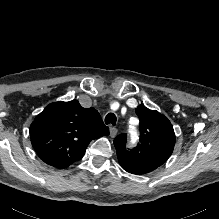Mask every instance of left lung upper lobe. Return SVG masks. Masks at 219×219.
<instances>
[{
  "mask_svg": "<svg viewBox=\"0 0 219 219\" xmlns=\"http://www.w3.org/2000/svg\"><path fill=\"white\" fill-rule=\"evenodd\" d=\"M136 113L140 119V143L128 150L126 134H121L114 144L121 167L129 173L144 175L167 161L176 138L170 121L158 111L139 105Z\"/></svg>",
  "mask_w": 219,
  "mask_h": 219,
  "instance_id": "1",
  "label": "left lung upper lobe"
}]
</instances>
